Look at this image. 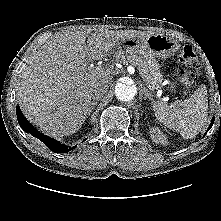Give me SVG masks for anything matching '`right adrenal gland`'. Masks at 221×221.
Wrapping results in <instances>:
<instances>
[{"label":"right adrenal gland","mask_w":221,"mask_h":221,"mask_svg":"<svg viewBox=\"0 0 221 221\" xmlns=\"http://www.w3.org/2000/svg\"><path fill=\"white\" fill-rule=\"evenodd\" d=\"M97 103H98V99L96 98L90 105L88 115L91 114L92 110L95 108V105H97Z\"/></svg>","instance_id":"obj_1"}]
</instances>
